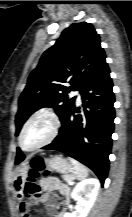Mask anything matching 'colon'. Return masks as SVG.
Here are the masks:
<instances>
[{
  "instance_id": "1",
  "label": "colon",
  "mask_w": 132,
  "mask_h": 217,
  "mask_svg": "<svg viewBox=\"0 0 132 217\" xmlns=\"http://www.w3.org/2000/svg\"><path fill=\"white\" fill-rule=\"evenodd\" d=\"M44 171L45 165L43 159L41 157H34L31 161V169L29 170L28 177L22 189L23 197L30 200L39 196L40 186L38 180Z\"/></svg>"
}]
</instances>
